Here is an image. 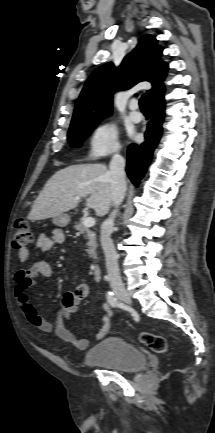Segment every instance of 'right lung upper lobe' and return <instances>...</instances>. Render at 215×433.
<instances>
[{"instance_id": "obj_1", "label": "right lung upper lobe", "mask_w": 215, "mask_h": 433, "mask_svg": "<svg viewBox=\"0 0 215 433\" xmlns=\"http://www.w3.org/2000/svg\"><path fill=\"white\" fill-rule=\"evenodd\" d=\"M163 48L155 36L144 35L138 45L116 68L107 63L97 68L89 77L77 100L71 124L103 119L112 114V98L116 90L128 89L148 81L149 102L164 92L163 81L168 65L160 60Z\"/></svg>"}]
</instances>
